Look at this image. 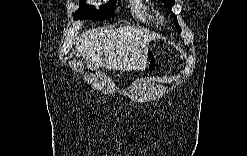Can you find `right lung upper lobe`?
<instances>
[{
    "label": "right lung upper lobe",
    "mask_w": 247,
    "mask_h": 156,
    "mask_svg": "<svg viewBox=\"0 0 247 156\" xmlns=\"http://www.w3.org/2000/svg\"><path fill=\"white\" fill-rule=\"evenodd\" d=\"M115 0H110L109 2H114Z\"/></svg>",
    "instance_id": "obj_1"
}]
</instances>
